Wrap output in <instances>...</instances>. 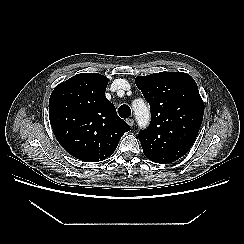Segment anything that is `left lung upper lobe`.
<instances>
[{"label":"left lung upper lobe","mask_w":244,"mask_h":244,"mask_svg":"<svg viewBox=\"0 0 244 244\" xmlns=\"http://www.w3.org/2000/svg\"><path fill=\"white\" fill-rule=\"evenodd\" d=\"M136 86L150 104L151 122L139 132L145 156L155 163H172L193 145L204 104L194 79L182 72L137 76Z\"/></svg>","instance_id":"1"}]
</instances>
